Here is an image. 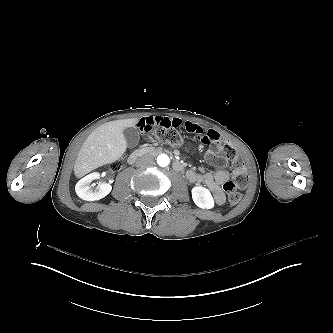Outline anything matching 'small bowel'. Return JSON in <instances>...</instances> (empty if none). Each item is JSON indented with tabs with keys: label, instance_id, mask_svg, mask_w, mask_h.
<instances>
[{
	"label": "small bowel",
	"instance_id": "1",
	"mask_svg": "<svg viewBox=\"0 0 333 333\" xmlns=\"http://www.w3.org/2000/svg\"><path fill=\"white\" fill-rule=\"evenodd\" d=\"M181 124L178 118H166V117H146L138 122V126L143 131H148L155 126L160 127H178ZM185 127L190 131H200V129L192 122L187 121ZM207 135L211 138H217L218 134L213 131H207ZM233 149V144L231 142H217L211 146V151L213 153H219L220 151H231ZM211 153V152H210ZM233 160L235 162H240L242 160V155L240 153H235L233 155ZM210 163L212 165H218L220 163V158L218 156H212L210 158ZM235 175V171H234ZM186 178L192 183H202L204 184L212 193L214 201L217 205H222L225 203V190L224 185L230 181L229 174L225 170H217L215 172L208 171L205 173H198L193 170H188L186 173Z\"/></svg>",
	"mask_w": 333,
	"mask_h": 333
}]
</instances>
